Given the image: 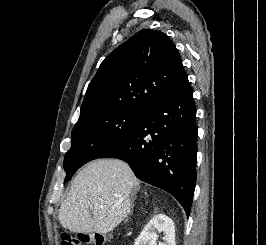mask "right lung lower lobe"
Listing matches in <instances>:
<instances>
[{"instance_id":"1","label":"right lung lower lobe","mask_w":266,"mask_h":245,"mask_svg":"<svg viewBox=\"0 0 266 245\" xmlns=\"http://www.w3.org/2000/svg\"><path fill=\"white\" fill-rule=\"evenodd\" d=\"M195 120L193 90L187 81L153 103L134 131L99 158L127 162L137 178L173 195L188 216L196 185Z\"/></svg>"}]
</instances>
